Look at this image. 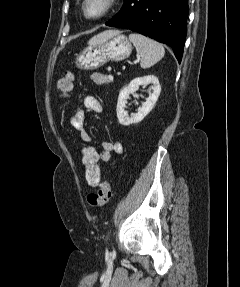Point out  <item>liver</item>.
<instances>
[{"instance_id":"1","label":"liver","mask_w":240,"mask_h":287,"mask_svg":"<svg viewBox=\"0 0 240 287\" xmlns=\"http://www.w3.org/2000/svg\"><path fill=\"white\" fill-rule=\"evenodd\" d=\"M109 31H110V30H108V31H104V32H102V33H100V34H98V35L94 36L90 41L100 39L101 37L105 36Z\"/></svg>"}]
</instances>
